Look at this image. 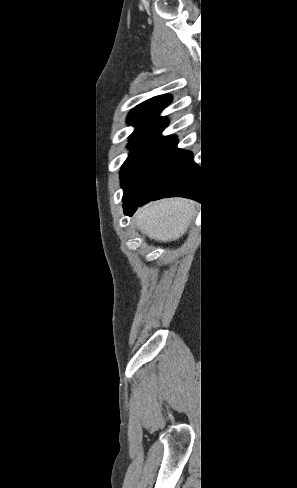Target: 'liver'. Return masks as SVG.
Masks as SVG:
<instances>
[{"label": "liver", "mask_w": 297, "mask_h": 488, "mask_svg": "<svg viewBox=\"0 0 297 488\" xmlns=\"http://www.w3.org/2000/svg\"><path fill=\"white\" fill-rule=\"evenodd\" d=\"M198 211V204L192 200L168 198L138 209L133 219L149 238L166 242L181 237Z\"/></svg>", "instance_id": "obj_1"}]
</instances>
